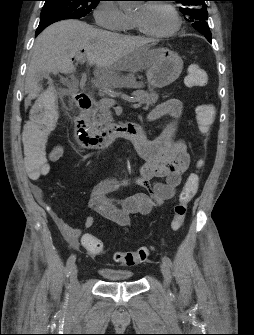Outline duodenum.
<instances>
[{
    "label": "duodenum",
    "mask_w": 254,
    "mask_h": 335,
    "mask_svg": "<svg viewBox=\"0 0 254 335\" xmlns=\"http://www.w3.org/2000/svg\"><path fill=\"white\" fill-rule=\"evenodd\" d=\"M78 111L75 117V134L79 143L87 149H102L110 146L118 138H127L132 142L143 138V131L139 124H112L101 130H93L88 121V112L92 101L87 94L75 96Z\"/></svg>",
    "instance_id": "duodenum-1"
}]
</instances>
